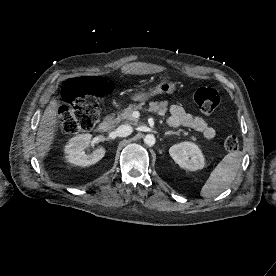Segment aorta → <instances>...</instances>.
Instances as JSON below:
<instances>
[{
  "label": "aorta",
  "instance_id": "762f6f07",
  "mask_svg": "<svg viewBox=\"0 0 276 276\" xmlns=\"http://www.w3.org/2000/svg\"><path fill=\"white\" fill-rule=\"evenodd\" d=\"M156 142L155 136L152 134H148L144 138V143L148 146H153Z\"/></svg>",
  "mask_w": 276,
  "mask_h": 276
}]
</instances>
